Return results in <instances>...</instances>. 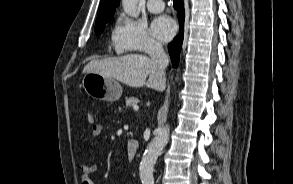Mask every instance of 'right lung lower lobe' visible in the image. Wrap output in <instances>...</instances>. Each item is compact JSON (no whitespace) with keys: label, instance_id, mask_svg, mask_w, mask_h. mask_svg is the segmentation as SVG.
Returning <instances> with one entry per match:
<instances>
[{"label":"right lung lower lobe","instance_id":"right-lung-lower-lobe-1","mask_svg":"<svg viewBox=\"0 0 293 184\" xmlns=\"http://www.w3.org/2000/svg\"><path fill=\"white\" fill-rule=\"evenodd\" d=\"M174 7L178 11L179 23H180V34L168 45V51L171 57L173 67L178 66L179 53L183 42V27L185 12L183 8V0H174Z\"/></svg>","mask_w":293,"mask_h":184}]
</instances>
